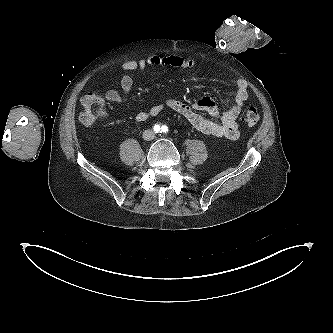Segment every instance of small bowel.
Returning a JSON list of instances; mask_svg holds the SVG:
<instances>
[{
  "label": "small bowel",
  "mask_w": 333,
  "mask_h": 333,
  "mask_svg": "<svg viewBox=\"0 0 333 333\" xmlns=\"http://www.w3.org/2000/svg\"><path fill=\"white\" fill-rule=\"evenodd\" d=\"M195 65L193 59H185L178 56H150L140 60H130L122 64L125 72L144 71L149 66H170L179 69H189ZM236 92L233 97L224 100L225 108L220 111L215 100L209 96H203L188 104L175 98L168 97L162 103L152 106L146 111L136 114L137 122H144L157 116L164 109H170L184 117L193 127L205 135L236 140L239 137L237 118L244 103L248 100L249 92L245 81L237 80ZM133 88V79L129 74H124L120 80V90L110 89L105 93V99L112 103L126 102ZM199 111H204L217 121L202 116Z\"/></svg>",
  "instance_id": "1"
}]
</instances>
